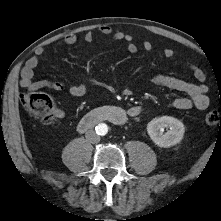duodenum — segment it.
<instances>
[{
    "label": "duodenum",
    "instance_id": "1",
    "mask_svg": "<svg viewBox=\"0 0 221 221\" xmlns=\"http://www.w3.org/2000/svg\"><path fill=\"white\" fill-rule=\"evenodd\" d=\"M139 107L137 113H141ZM129 115L123 109L117 106H105L94 109L87 113L78 123L77 129L80 132H85L95 125L107 121L116 125H124L127 123ZM131 116V115H130Z\"/></svg>",
    "mask_w": 221,
    "mask_h": 221
}]
</instances>
